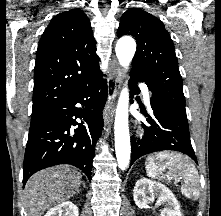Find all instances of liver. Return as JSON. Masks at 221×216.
<instances>
[{
	"label": "liver",
	"instance_id": "6515ba94",
	"mask_svg": "<svg viewBox=\"0 0 221 216\" xmlns=\"http://www.w3.org/2000/svg\"><path fill=\"white\" fill-rule=\"evenodd\" d=\"M81 174L68 165L35 173L25 186L27 216H41L46 210L70 199L79 190Z\"/></svg>",
	"mask_w": 221,
	"mask_h": 216
}]
</instances>
